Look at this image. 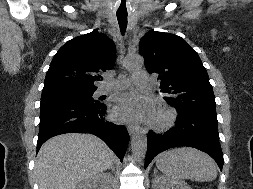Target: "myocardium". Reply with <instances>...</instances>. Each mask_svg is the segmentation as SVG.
Instances as JSON below:
<instances>
[{"label": "myocardium", "instance_id": "f54148a6", "mask_svg": "<svg viewBox=\"0 0 253 189\" xmlns=\"http://www.w3.org/2000/svg\"><path fill=\"white\" fill-rule=\"evenodd\" d=\"M177 120V112L167 104L160 103L156 106L150 120V126L156 131H167L172 128Z\"/></svg>", "mask_w": 253, "mask_h": 189}]
</instances>
